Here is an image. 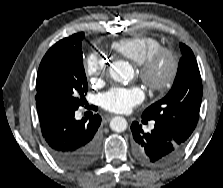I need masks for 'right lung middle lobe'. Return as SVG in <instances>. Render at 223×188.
<instances>
[{
  "instance_id": "right-lung-middle-lobe-1",
  "label": "right lung middle lobe",
  "mask_w": 223,
  "mask_h": 188,
  "mask_svg": "<svg viewBox=\"0 0 223 188\" xmlns=\"http://www.w3.org/2000/svg\"><path fill=\"white\" fill-rule=\"evenodd\" d=\"M83 38L84 33H76L47 51L38 69L36 104L83 105L88 90L81 51Z\"/></svg>"
}]
</instances>
